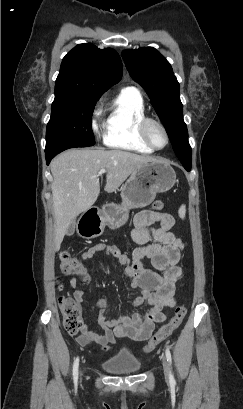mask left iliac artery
Returning a JSON list of instances; mask_svg holds the SVG:
<instances>
[{"instance_id":"obj_1","label":"left iliac artery","mask_w":243,"mask_h":409,"mask_svg":"<svg viewBox=\"0 0 243 409\" xmlns=\"http://www.w3.org/2000/svg\"><path fill=\"white\" fill-rule=\"evenodd\" d=\"M165 354H166L167 361L171 364V362H172V357H171V352H170L169 348H166ZM169 379H170V381H172V382L175 381V379H174V377H173V374H172L171 372H170V375H169Z\"/></svg>"}]
</instances>
